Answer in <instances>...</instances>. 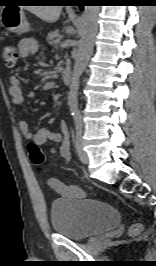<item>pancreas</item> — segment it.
Returning <instances> with one entry per match:
<instances>
[{"label":"pancreas","mask_w":156,"mask_h":266,"mask_svg":"<svg viewBox=\"0 0 156 266\" xmlns=\"http://www.w3.org/2000/svg\"><path fill=\"white\" fill-rule=\"evenodd\" d=\"M60 41V35L58 31H51L47 36V42L50 45H58Z\"/></svg>","instance_id":"obj_1"}]
</instances>
